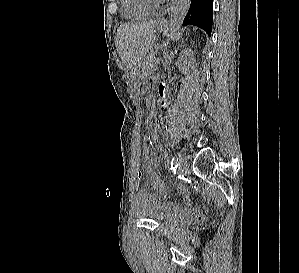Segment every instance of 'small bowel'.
Returning a JSON list of instances; mask_svg holds the SVG:
<instances>
[{"label": "small bowel", "instance_id": "obj_1", "mask_svg": "<svg viewBox=\"0 0 299 273\" xmlns=\"http://www.w3.org/2000/svg\"><path fill=\"white\" fill-rule=\"evenodd\" d=\"M160 97L165 100L163 88L160 89ZM142 159L147 166V173L150 177V185L154 191V196L148 194L146 190L140 189L135 197V210L139 212L150 207L165 217L177 220L190 219L192 215L189 209L165 202L167 189L158 173L159 164L151 158L150 147L143 148ZM178 190L182 194L187 193L184 186H179Z\"/></svg>", "mask_w": 299, "mask_h": 273}]
</instances>
